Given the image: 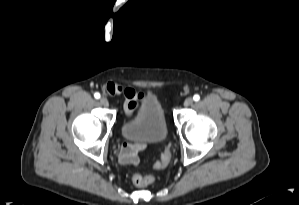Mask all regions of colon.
<instances>
[{"label":"colon","instance_id":"colon-1","mask_svg":"<svg viewBox=\"0 0 299 205\" xmlns=\"http://www.w3.org/2000/svg\"><path fill=\"white\" fill-rule=\"evenodd\" d=\"M170 160V152L166 151L160 162H157L154 166L156 168L165 167ZM155 180V177L152 175H142L140 173H135L132 176V181L136 186L142 187L152 183Z\"/></svg>","mask_w":299,"mask_h":205}]
</instances>
